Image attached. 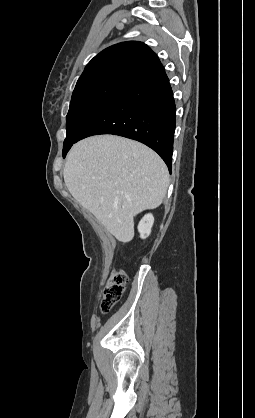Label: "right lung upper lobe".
<instances>
[{"instance_id":"cb5924a9","label":"right lung upper lobe","mask_w":255,"mask_h":418,"mask_svg":"<svg viewBox=\"0 0 255 418\" xmlns=\"http://www.w3.org/2000/svg\"><path fill=\"white\" fill-rule=\"evenodd\" d=\"M164 71L158 56L144 43L128 41L106 48L85 67L76 87L109 82L125 87Z\"/></svg>"}]
</instances>
